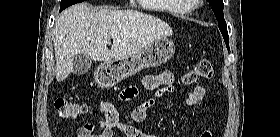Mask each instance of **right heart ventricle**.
Segmentation results:
<instances>
[{"mask_svg":"<svg viewBox=\"0 0 280 137\" xmlns=\"http://www.w3.org/2000/svg\"><path fill=\"white\" fill-rule=\"evenodd\" d=\"M163 3V8L172 16H183L187 14L190 9L183 3L182 0H152Z\"/></svg>","mask_w":280,"mask_h":137,"instance_id":"1","label":"right heart ventricle"}]
</instances>
